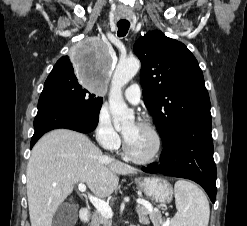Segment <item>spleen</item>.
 Instances as JSON below:
<instances>
[{"label":"spleen","mask_w":247,"mask_h":226,"mask_svg":"<svg viewBox=\"0 0 247 226\" xmlns=\"http://www.w3.org/2000/svg\"><path fill=\"white\" fill-rule=\"evenodd\" d=\"M174 192L177 213L172 226H208L210 208L205 194L185 180L175 183Z\"/></svg>","instance_id":"spleen-1"}]
</instances>
